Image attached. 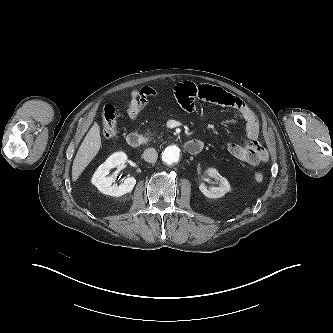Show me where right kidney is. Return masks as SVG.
<instances>
[{
  "label": "right kidney",
  "instance_id": "ca27d5eb",
  "mask_svg": "<svg viewBox=\"0 0 333 333\" xmlns=\"http://www.w3.org/2000/svg\"><path fill=\"white\" fill-rule=\"evenodd\" d=\"M127 155L124 152H116L112 154L107 160L102 163L92 177V184H94L100 192L106 195L120 197L132 191L136 184L134 177L126 178L121 185L115 184L113 176H107L109 171L124 163Z\"/></svg>",
  "mask_w": 333,
  "mask_h": 333
}]
</instances>
